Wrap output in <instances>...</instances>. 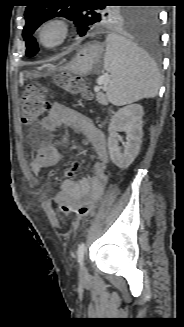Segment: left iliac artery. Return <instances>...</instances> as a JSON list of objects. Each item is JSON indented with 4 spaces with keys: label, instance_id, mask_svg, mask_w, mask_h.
<instances>
[{
    "label": "left iliac artery",
    "instance_id": "1",
    "mask_svg": "<svg viewBox=\"0 0 184 327\" xmlns=\"http://www.w3.org/2000/svg\"><path fill=\"white\" fill-rule=\"evenodd\" d=\"M85 249H86V247H85V243L82 242V243L79 245L78 250H77L78 262H79L80 264H82V262H83Z\"/></svg>",
    "mask_w": 184,
    "mask_h": 327
}]
</instances>
